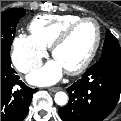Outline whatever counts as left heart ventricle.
<instances>
[{
  "label": "left heart ventricle",
  "mask_w": 121,
  "mask_h": 121,
  "mask_svg": "<svg viewBox=\"0 0 121 121\" xmlns=\"http://www.w3.org/2000/svg\"><path fill=\"white\" fill-rule=\"evenodd\" d=\"M96 39V29L93 23L85 22L79 25L68 40L61 45L55 54V59L66 70L77 67L87 56Z\"/></svg>",
  "instance_id": "obj_1"
}]
</instances>
